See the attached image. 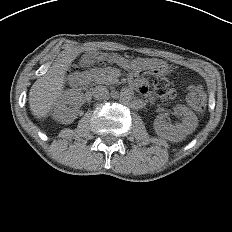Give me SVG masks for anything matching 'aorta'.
I'll return each mask as SVG.
<instances>
[{"mask_svg":"<svg viewBox=\"0 0 232 232\" xmlns=\"http://www.w3.org/2000/svg\"><path fill=\"white\" fill-rule=\"evenodd\" d=\"M134 96V91L131 88L125 87L120 91V99L122 102H129Z\"/></svg>","mask_w":232,"mask_h":232,"instance_id":"aorta-1","label":"aorta"}]
</instances>
